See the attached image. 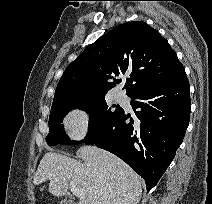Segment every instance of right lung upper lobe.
Returning a JSON list of instances; mask_svg holds the SVG:
<instances>
[{
    "label": "right lung upper lobe",
    "mask_w": 212,
    "mask_h": 204,
    "mask_svg": "<svg viewBox=\"0 0 212 204\" xmlns=\"http://www.w3.org/2000/svg\"><path fill=\"white\" fill-rule=\"evenodd\" d=\"M183 71L176 53L157 30L142 21L128 22L99 37L67 66L51 109L105 96L121 74L129 75L124 87L128 95Z\"/></svg>",
    "instance_id": "cb5924a9"
}]
</instances>
